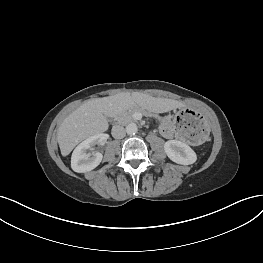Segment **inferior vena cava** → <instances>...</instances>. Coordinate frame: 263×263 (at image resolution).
<instances>
[{
    "label": "inferior vena cava",
    "instance_id": "1",
    "mask_svg": "<svg viewBox=\"0 0 263 263\" xmlns=\"http://www.w3.org/2000/svg\"><path fill=\"white\" fill-rule=\"evenodd\" d=\"M111 134L115 139H122L126 135V130L122 126H115L112 128Z\"/></svg>",
    "mask_w": 263,
    "mask_h": 263
}]
</instances>
